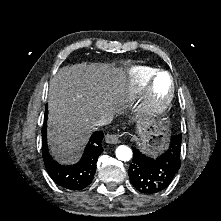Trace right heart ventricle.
<instances>
[{
	"label": "right heart ventricle",
	"mask_w": 221,
	"mask_h": 221,
	"mask_svg": "<svg viewBox=\"0 0 221 221\" xmlns=\"http://www.w3.org/2000/svg\"><path fill=\"white\" fill-rule=\"evenodd\" d=\"M157 72L156 69L150 67H139L135 73L136 84L139 89L144 88L149 81L152 79L154 74Z\"/></svg>",
	"instance_id": "e07e8e85"
}]
</instances>
